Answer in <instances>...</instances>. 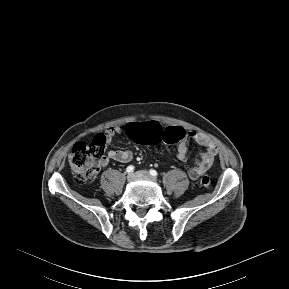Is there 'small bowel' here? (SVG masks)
<instances>
[{"label":"small bowel","instance_id":"1","mask_svg":"<svg viewBox=\"0 0 289 289\" xmlns=\"http://www.w3.org/2000/svg\"><path fill=\"white\" fill-rule=\"evenodd\" d=\"M122 129L119 126H114L106 129L102 136L105 138L107 144L111 143L115 135L121 133ZM188 136L193 138L197 144L204 147V151L200 154L196 166L188 171V175L192 180H197L201 175L206 173L212 166L214 159L218 153L217 147L214 142L206 135L201 133L189 132ZM177 158L185 161L188 155L187 140L184 139L177 144L176 147ZM133 159V153L130 150H109L106 157L102 161L105 165L109 160L120 163H128Z\"/></svg>","mask_w":289,"mask_h":289}]
</instances>
